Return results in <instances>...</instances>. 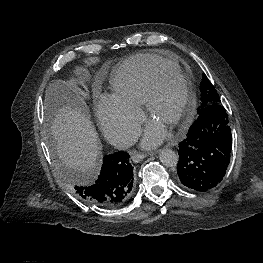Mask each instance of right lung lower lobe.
Instances as JSON below:
<instances>
[{
    "label": "right lung lower lobe",
    "mask_w": 263,
    "mask_h": 263,
    "mask_svg": "<svg viewBox=\"0 0 263 263\" xmlns=\"http://www.w3.org/2000/svg\"><path fill=\"white\" fill-rule=\"evenodd\" d=\"M101 174L91 186H75L86 203L112 208L124 204L132 194L133 167L129 154L119 151L103 158Z\"/></svg>",
    "instance_id": "1"
}]
</instances>
